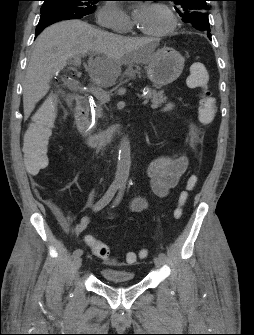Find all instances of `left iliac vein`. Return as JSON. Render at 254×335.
<instances>
[{"label": "left iliac vein", "mask_w": 254, "mask_h": 335, "mask_svg": "<svg viewBox=\"0 0 254 335\" xmlns=\"http://www.w3.org/2000/svg\"><path fill=\"white\" fill-rule=\"evenodd\" d=\"M154 264L158 267H162L164 264V259L160 257H154Z\"/></svg>", "instance_id": "obj_1"}]
</instances>
